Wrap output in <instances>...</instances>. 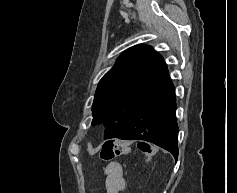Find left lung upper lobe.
Instances as JSON below:
<instances>
[{
  "label": "left lung upper lobe",
  "instance_id": "obj_1",
  "mask_svg": "<svg viewBox=\"0 0 237 193\" xmlns=\"http://www.w3.org/2000/svg\"><path fill=\"white\" fill-rule=\"evenodd\" d=\"M166 71L162 56L150 46L136 45L126 50L98 84L92 125L104 123V138H116L146 91Z\"/></svg>",
  "mask_w": 237,
  "mask_h": 193
}]
</instances>
